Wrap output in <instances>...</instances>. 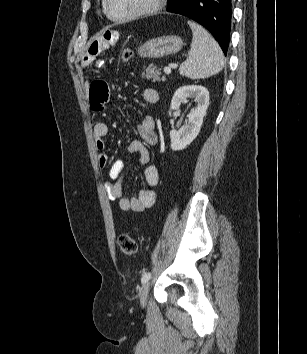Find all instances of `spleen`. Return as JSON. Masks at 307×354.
Returning <instances> with one entry per match:
<instances>
[{"label": "spleen", "instance_id": "3e777b00", "mask_svg": "<svg viewBox=\"0 0 307 354\" xmlns=\"http://www.w3.org/2000/svg\"><path fill=\"white\" fill-rule=\"evenodd\" d=\"M193 32L187 60L179 68L181 75L190 79L207 78L223 67V53L216 40L200 25L189 21Z\"/></svg>", "mask_w": 307, "mask_h": 354}]
</instances>
